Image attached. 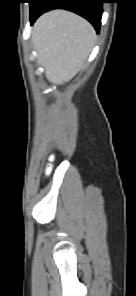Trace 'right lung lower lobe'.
I'll return each instance as SVG.
<instances>
[{"instance_id":"98d812e1","label":"right lung lower lobe","mask_w":136,"mask_h":296,"mask_svg":"<svg viewBox=\"0 0 136 296\" xmlns=\"http://www.w3.org/2000/svg\"><path fill=\"white\" fill-rule=\"evenodd\" d=\"M104 0H37L30 7L31 24L44 12L52 9L73 11L87 19L99 32Z\"/></svg>"}]
</instances>
